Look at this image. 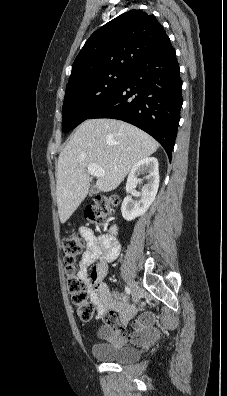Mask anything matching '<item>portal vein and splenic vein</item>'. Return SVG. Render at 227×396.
Masks as SVG:
<instances>
[{"label": "portal vein and splenic vein", "mask_w": 227, "mask_h": 396, "mask_svg": "<svg viewBox=\"0 0 227 396\" xmlns=\"http://www.w3.org/2000/svg\"><path fill=\"white\" fill-rule=\"evenodd\" d=\"M88 172L92 175V176H96V177H104L105 176V171L100 168L99 166H97L96 164H89L87 166Z\"/></svg>", "instance_id": "18ae733b"}]
</instances>
